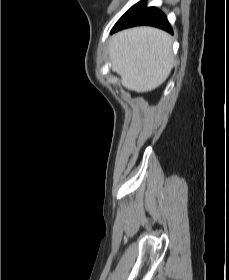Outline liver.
I'll list each match as a JSON object with an SVG mask.
<instances>
[{"mask_svg": "<svg viewBox=\"0 0 229 280\" xmlns=\"http://www.w3.org/2000/svg\"><path fill=\"white\" fill-rule=\"evenodd\" d=\"M172 37L152 27H135L114 35L109 57L112 70L122 85L132 91L147 92L160 86L174 65Z\"/></svg>", "mask_w": 229, "mask_h": 280, "instance_id": "liver-1", "label": "liver"}]
</instances>
